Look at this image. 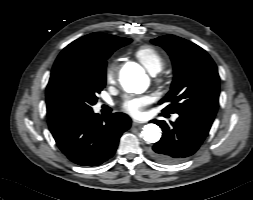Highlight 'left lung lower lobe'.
I'll return each mask as SVG.
<instances>
[{"label":"left lung lower lobe","instance_id":"0a47b994","mask_svg":"<svg viewBox=\"0 0 253 200\" xmlns=\"http://www.w3.org/2000/svg\"><path fill=\"white\" fill-rule=\"evenodd\" d=\"M175 122L153 121L162 128V138L149 150L155 160L173 164L194 154L209 133L215 115L181 112Z\"/></svg>","mask_w":253,"mask_h":200}]
</instances>
